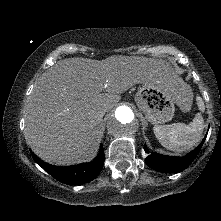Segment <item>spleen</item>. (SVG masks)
<instances>
[{
    "instance_id": "spleen-1",
    "label": "spleen",
    "mask_w": 221,
    "mask_h": 221,
    "mask_svg": "<svg viewBox=\"0 0 221 221\" xmlns=\"http://www.w3.org/2000/svg\"><path fill=\"white\" fill-rule=\"evenodd\" d=\"M189 91L191 89L187 86ZM192 97V93H191ZM199 109L204 108L201 97H197ZM204 129V119L200 113H197L191 123H173L170 125H155L154 134L160 144L172 151L183 152L190 150L198 144Z\"/></svg>"
}]
</instances>
